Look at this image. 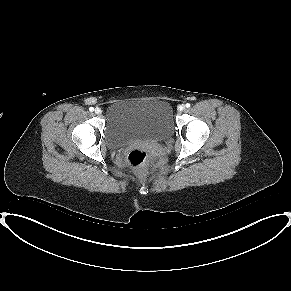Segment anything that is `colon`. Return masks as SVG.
<instances>
[{"label":"colon","instance_id":"1","mask_svg":"<svg viewBox=\"0 0 291 291\" xmlns=\"http://www.w3.org/2000/svg\"><path fill=\"white\" fill-rule=\"evenodd\" d=\"M148 159V151L144 148H135L129 154L126 158V164L127 166L139 173L140 178L145 177V173L143 172L144 166Z\"/></svg>","mask_w":291,"mask_h":291}]
</instances>
